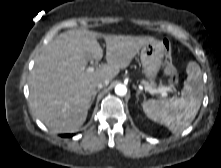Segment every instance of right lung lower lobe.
<instances>
[{"instance_id": "98d812e1", "label": "right lung lower lobe", "mask_w": 221, "mask_h": 168, "mask_svg": "<svg viewBox=\"0 0 221 168\" xmlns=\"http://www.w3.org/2000/svg\"><path fill=\"white\" fill-rule=\"evenodd\" d=\"M64 136L71 137V136H73V135L67 134V135H64Z\"/></svg>"}]
</instances>
